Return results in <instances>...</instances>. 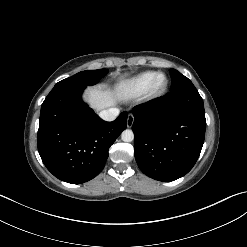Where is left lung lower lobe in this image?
I'll use <instances>...</instances> for the list:
<instances>
[{"instance_id": "obj_1", "label": "left lung lower lobe", "mask_w": 247, "mask_h": 247, "mask_svg": "<svg viewBox=\"0 0 247 247\" xmlns=\"http://www.w3.org/2000/svg\"><path fill=\"white\" fill-rule=\"evenodd\" d=\"M134 154L140 170L162 182L187 174L205 137L203 99L198 91L170 92L133 109Z\"/></svg>"}]
</instances>
